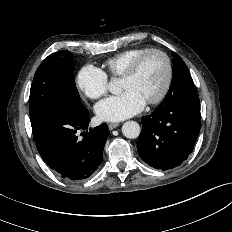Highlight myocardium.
Listing matches in <instances>:
<instances>
[{"label": "myocardium", "mask_w": 232, "mask_h": 232, "mask_svg": "<svg viewBox=\"0 0 232 232\" xmlns=\"http://www.w3.org/2000/svg\"><path fill=\"white\" fill-rule=\"evenodd\" d=\"M152 54H158L163 57L165 61V65H166V78H165V83H164L162 90L156 97L146 102V104L148 105H155V104L160 103L166 97V95L168 94L170 90V87L173 81V67H172V62H171L169 55L161 49H157V48L148 49L147 51L143 52L138 57H136L130 63L128 68L125 70V72L121 76L122 79L132 78L139 70L143 61Z\"/></svg>", "instance_id": "f54148a6"}]
</instances>
